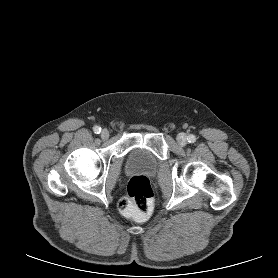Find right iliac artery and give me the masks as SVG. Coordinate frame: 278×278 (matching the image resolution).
<instances>
[{
	"instance_id": "obj_1",
	"label": "right iliac artery",
	"mask_w": 278,
	"mask_h": 278,
	"mask_svg": "<svg viewBox=\"0 0 278 278\" xmlns=\"http://www.w3.org/2000/svg\"><path fill=\"white\" fill-rule=\"evenodd\" d=\"M94 133L99 134L101 132V128L99 126H95L93 128Z\"/></svg>"
}]
</instances>
